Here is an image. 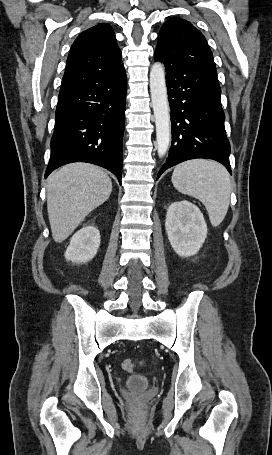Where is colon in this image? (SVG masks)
<instances>
[{
  "instance_id": "5ec220e1",
  "label": "colon",
  "mask_w": 272,
  "mask_h": 455,
  "mask_svg": "<svg viewBox=\"0 0 272 455\" xmlns=\"http://www.w3.org/2000/svg\"><path fill=\"white\" fill-rule=\"evenodd\" d=\"M122 368L127 372H133L138 368V363L132 359H126L122 363Z\"/></svg>"
}]
</instances>
